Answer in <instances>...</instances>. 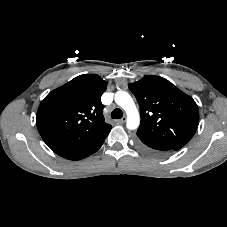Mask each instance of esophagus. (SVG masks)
<instances>
[{"label":"esophagus","mask_w":227,"mask_h":227,"mask_svg":"<svg viewBox=\"0 0 227 227\" xmlns=\"http://www.w3.org/2000/svg\"><path fill=\"white\" fill-rule=\"evenodd\" d=\"M127 118L126 117H123L122 119L118 120L117 122L119 124H124L126 122Z\"/></svg>","instance_id":"34e87169"}]
</instances>
